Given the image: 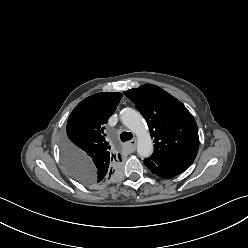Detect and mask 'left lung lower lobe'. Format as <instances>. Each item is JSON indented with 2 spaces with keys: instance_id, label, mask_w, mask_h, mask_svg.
Instances as JSON below:
<instances>
[{
  "instance_id": "1",
  "label": "left lung lower lobe",
  "mask_w": 248,
  "mask_h": 248,
  "mask_svg": "<svg viewBox=\"0 0 248 248\" xmlns=\"http://www.w3.org/2000/svg\"><path fill=\"white\" fill-rule=\"evenodd\" d=\"M144 164L149 168V170L160 177L172 178L182 172H184L191 164H178L172 166H159L149 159L144 160Z\"/></svg>"
}]
</instances>
